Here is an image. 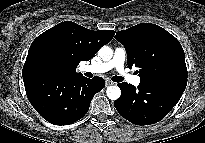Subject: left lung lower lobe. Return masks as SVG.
Segmentation results:
<instances>
[{"mask_svg":"<svg viewBox=\"0 0 205 143\" xmlns=\"http://www.w3.org/2000/svg\"><path fill=\"white\" fill-rule=\"evenodd\" d=\"M186 85L187 76L181 75L140 81L138 88L120 83L121 97L114 106L123 118L133 124H154L178 103Z\"/></svg>","mask_w":205,"mask_h":143,"instance_id":"0a47b994","label":"left lung lower lobe"}]
</instances>
